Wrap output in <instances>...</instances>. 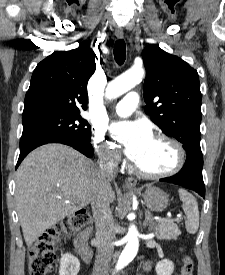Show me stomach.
<instances>
[{"mask_svg":"<svg viewBox=\"0 0 225 275\" xmlns=\"http://www.w3.org/2000/svg\"><path fill=\"white\" fill-rule=\"evenodd\" d=\"M143 198L148 209L154 212L164 210L169 202L167 194L157 187L146 188Z\"/></svg>","mask_w":225,"mask_h":275,"instance_id":"obj_1","label":"stomach"}]
</instances>
